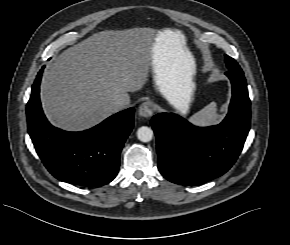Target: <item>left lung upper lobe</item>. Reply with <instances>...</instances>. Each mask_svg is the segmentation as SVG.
<instances>
[{
    "label": "left lung upper lobe",
    "instance_id": "1",
    "mask_svg": "<svg viewBox=\"0 0 290 245\" xmlns=\"http://www.w3.org/2000/svg\"><path fill=\"white\" fill-rule=\"evenodd\" d=\"M226 65H227L228 70L242 71L239 64L228 55H226Z\"/></svg>",
    "mask_w": 290,
    "mask_h": 245
}]
</instances>
